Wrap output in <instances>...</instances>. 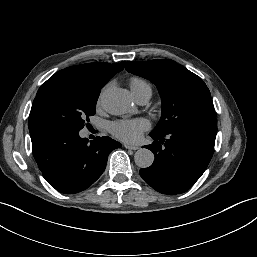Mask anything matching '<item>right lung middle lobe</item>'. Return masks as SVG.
Masks as SVG:
<instances>
[{
	"instance_id": "dd1d6c3e",
	"label": "right lung middle lobe",
	"mask_w": 257,
	"mask_h": 257,
	"mask_svg": "<svg viewBox=\"0 0 257 257\" xmlns=\"http://www.w3.org/2000/svg\"><path fill=\"white\" fill-rule=\"evenodd\" d=\"M99 94L98 89L54 74L36 94L29 115V130L79 132L95 114Z\"/></svg>"
}]
</instances>
